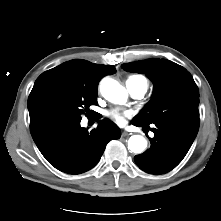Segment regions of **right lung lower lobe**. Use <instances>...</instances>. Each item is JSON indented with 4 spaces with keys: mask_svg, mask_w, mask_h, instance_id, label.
I'll list each match as a JSON object with an SVG mask.
<instances>
[{
    "mask_svg": "<svg viewBox=\"0 0 221 221\" xmlns=\"http://www.w3.org/2000/svg\"><path fill=\"white\" fill-rule=\"evenodd\" d=\"M81 117L47 116L30 124L31 135L46 160L56 169L80 174L100 160L107 143L121 136L109 119L98 121L91 132L80 126Z\"/></svg>",
    "mask_w": 221,
    "mask_h": 221,
    "instance_id": "obj_1",
    "label": "right lung lower lobe"
}]
</instances>
